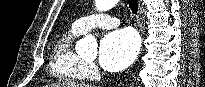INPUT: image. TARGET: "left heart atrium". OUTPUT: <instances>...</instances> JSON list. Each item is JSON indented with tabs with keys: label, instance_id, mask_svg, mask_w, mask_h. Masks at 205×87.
Returning a JSON list of instances; mask_svg holds the SVG:
<instances>
[{
	"label": "left heart atrium",
	"instance_id": "obj_1",
	"mask_svg": "<svg viewBox=\"0 0 205 87\" xmlns=\"http://www.w3.org/2000/svg\"><path fill=\"white\" fill-rule=\"evenodd\" d=\"M139 51L137 34L128 28L107 34L101 42L99 61L108 71H119L129 66Z\"/></svg>",
	"mask_w": 205,
	"mask_h": 87
}]
</instances>
